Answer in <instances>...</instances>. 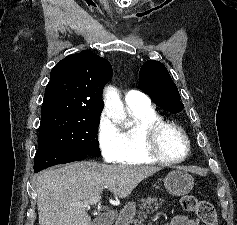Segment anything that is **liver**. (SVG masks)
Listing matches in <instances>:
<instances>
[{
  "instance_id": "1",
  "label": "liver",
  "mask_w": 237,
  "mask_h": 225,
  "mask_svg": "<svg viewBox=\"0 0 237 225\" xmlns=\"http://www.w3.org/2000/svg\"><path fill=\"white\" fill-rule=\"evenodd\" d=\"M159 170L95 161L73 162L47 170L36 179L39 225H91V217L81 203L101 194L104 188L125 198L142 180Z\"/></svg>"
}]
</instances>
